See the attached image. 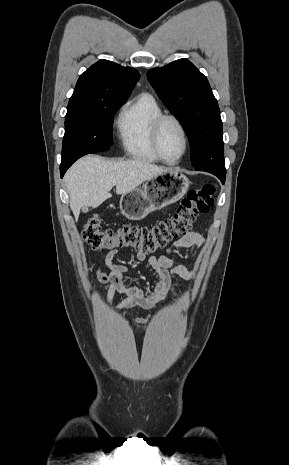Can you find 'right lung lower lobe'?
<instances>
[{"mask_svg":"<svg viewBox=\"0 0 289 465\" xmlns=\"http://www.w3.org/2000/svg\"><path fill=\"white\" fill-rule=\"evenodd\" d=\"M77 159L69 160V161H61L60 165V174L61 177L64 176L66 170L76 161Z\"/></svg>","mask_w":289,"mask_h":465,"instance_id":"98d812e1","label":"right lung lower lobe"}]
</instances>
